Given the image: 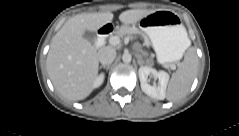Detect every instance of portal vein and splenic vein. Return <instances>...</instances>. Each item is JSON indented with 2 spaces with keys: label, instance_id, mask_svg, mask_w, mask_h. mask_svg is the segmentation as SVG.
<instances>
[{
  "label": "portal vein and splenic vein",
  "instance_id": "1",
  "mask_svg": "<svg viewBox=\"0 0 239 136\" xmlns=\"http://www.w3.org/2000/svg\"><path fill=\"white\" fill-rule=\"evenodd\" d=\"M110 45L116 46L120 43V38L118 36H112L109 39ZM171 69H174V67H171Z\"/></svg>",
  "mask_w": 239,
  "mask_h": 136
}]
</instances>
